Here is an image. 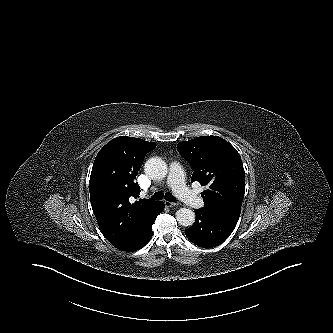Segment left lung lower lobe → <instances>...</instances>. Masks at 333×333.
<instances>
[{
	"label": "left lung lower lobe",
	"instance_id": "left-lung-lower-lobe-1",
	"mask_svg": "<svg viewBox=\"0 0 333 333\" xmlns=\"http://www.w3.org/2000/svg\"><path fill=\"white\" fill-rule=\"evenodd\" d=\"M195 223L185 229L187 238L194 244L211 248L220 245L233 232L237 223L208 209H195Z\"/></svg>",
	"mask_w": 333,
	"mask_h": 333
}]
</instances>
